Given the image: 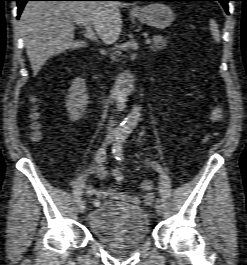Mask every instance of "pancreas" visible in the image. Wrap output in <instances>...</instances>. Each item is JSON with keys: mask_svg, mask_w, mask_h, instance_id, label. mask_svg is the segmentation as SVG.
I'll return each instance as SVG.
<instances>
[{"mask_svg": "<svg viewBox=\"0 0 247 265\" xmlns=\"http://www.w3.org/2000/svg\"><path fill=\"white\" fill-rule=\"evenodd\" d=\"M168 40L161 35H156L153 37V44L150 46L152 51H158L167 46Z\"/></svg>", "mask_w": 247, "mask_h": 265, "instance_id": "obj_1", "label": "pancreas"}]
</instances>
